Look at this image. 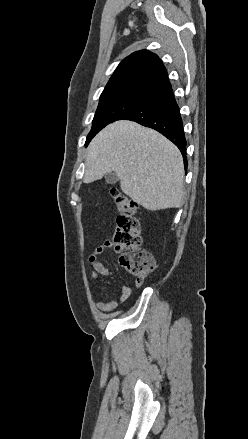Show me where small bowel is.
<instances>
[{"mask_svg": "<svg viewBox=\"0 0 248 439\" xmlns=\"http://www.w3.org/2000/svg\"><path fill=\"white\" fill-rule=\"evenodd\" d=\"M109 248H111V243H104L100 247L96 248L95 251L89 256L88 262L90 265V270L88 272V283L90 286H94L100 277L109 275L110 268L106 267L100 259L101 254ZM136 286L139 287L138 285ZM131 292L132 290L130 287L124 286L115 299L105 301L97 297L95 304L100 311L109 312L126 302L131 296Z\"/></svg>", "mask_w": 248, "mask_h": 439, "instance_id": "1", "label": "small bowel"}]
</instances>
